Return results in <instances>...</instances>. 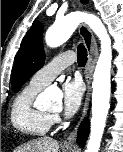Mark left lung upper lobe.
I'll use <instances>...</instances> for the list:
<instances>
[{
	"mask_svg": "<svg viewBox=\"0 0 123 152\" xmlns=\"http://www.w3.org/2000/svg\"><path fill=\"white\" fill-rule=\"evenodd\" d=\"M42 33V24L34 22L22 40L12 77V88L15 93L44 65L46 55L42 45Z\"/></svg>",
	"mask_w": 123,
	"mask_h": 152,
	"instance_id": "obj_1",
	"label": "left lung upper lobe"
}]
</instances>
